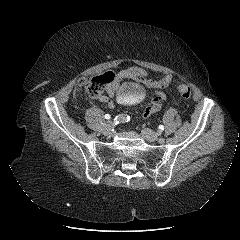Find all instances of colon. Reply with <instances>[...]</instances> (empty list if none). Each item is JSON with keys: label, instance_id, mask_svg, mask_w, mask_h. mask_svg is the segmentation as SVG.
Masks as SVG:
<instances>
[{"label": "colon", "instance_id": "5ec220e1", "mask_svg": "<svg viewBox=\"0 0 240 240\" xmlns=\"http://www.w3.org/2000/svg\"><path fill=\"white\" fill-rule=\"evenodd\" d=\"M113 74L111 72L104 73L99 76L92 77L84 82L85 90L91 97H98L102 95L104 89L113 81ZM175 90L184 98L191 97V90L185 84L175 85Z\"/></svg>", "mask_w": 240, "mask_h": 240}]
</instances>
